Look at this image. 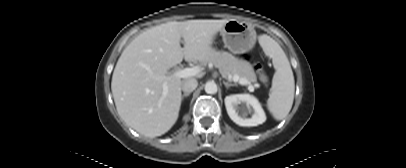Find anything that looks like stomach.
<instances>
[{"instance_id": "0dacf381", "label": "stomach", "mask_w": 406, "mask_h": 168, "mask_svg": "<svg viewBox=\"0 0 406 168\" xmlns=\"http://www.w3.org/2000/svg\"><path fill=\"white\" fill-rule=\"evenodd\" d=\"M225 47L232 53H243L251 50L256 43V31L246 22L235 19L228 22L220 30Z\"/></svg>"}]
</instances>
